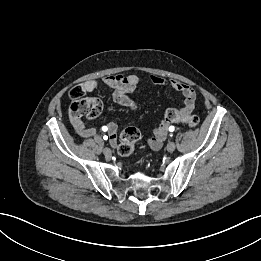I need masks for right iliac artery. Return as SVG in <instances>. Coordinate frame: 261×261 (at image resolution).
<instances>
[{
  "mask_svg": "<svg viewBox=\"0 0 261 261\" xmlns=\"http://www.w3.org/2000/svg\"><path fill=\"white\" fill-rule=\"evenodd\" d=\"M102 130H103V131H107V127H106V126H103V127H102ZM103 139H104V140H108V136H106V135L103 136Z\"/></svg>",
  "mask_w": 261,
  "mask_h": 261,
  "instance_id": "82829eb1",
  "label": "right iliac artery"
}]
</instances>
